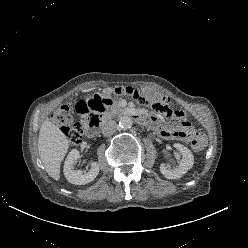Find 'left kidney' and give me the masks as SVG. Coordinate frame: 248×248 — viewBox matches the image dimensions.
<instances>
[{
	"label": "left kidney",
	"instance_id": "5707ae66",
	"mask_svg": "<svg viewBox=\"0 0 248 248\" xmlns=\"http://www.w3.org/2000/svg\"><path fill=\"white\" fill-rule=\"evenodd\" d=\"M174 147L181 152L182 159L179 162V165L174 169L168 168L165 164L160 165V172L167 179H178L182 177V175L187 173V171L191 169L194 164V156L187 147L179 143H175Z\"/></svg>",
	"mask_w": 248,
	"mask_h": 248
}]
</instances>
